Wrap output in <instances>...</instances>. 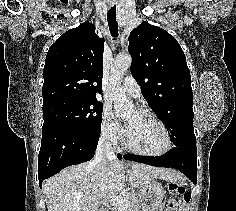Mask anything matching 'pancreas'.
<instances>
[{"mask_svg":"<svg viewBox=\"0 0 236 211\" xmlns=\"http://www.w3.org/2000/svg\"><path fill=\"white\" fill-rule=\"evenodd\" d=\"M124 201H129L130 205L128 207V211H140V203L136 194L129 193L123 197ZM112 211H121L118 207L114 206Z\"/></svg>","mask_w":236,"mask_h":211,"instance_id":"pancreas-1","label":"pancreas"}]
</instances>
